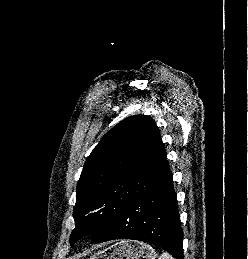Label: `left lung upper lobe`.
<instances>
[{
  "instance_id": "obj_1",
  "label": "left lung upper lobe",
  "mask_w": 248,
  "mask_h": 259,
  "mask_svg": "<svg viewBox=\"0 0 248 259\" xmlns=\"http://www.w3.org/2000/svg\"><path fill=\"white\" fill-rule=\"evenodd\" d=\"M169 171L159 129L130 116L107 132L87 158L77 184L70 243L95 236Z\"/></svg>"
}]
</instances>
